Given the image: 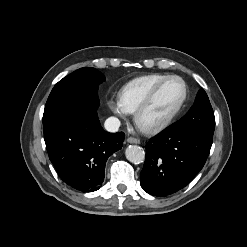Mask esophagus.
I'll list each match as a JSON object with an SVG mask.
<instances>
[{
    "instance_id": "1",
    "label": "esophagus",
    "mask_w": 247,
    "mask_h": 247,
    "mask_svg": "<svg viewBox=\"0 0 247 247\" xmlns=\"http://www.w3.org/2000/svg\"><path fill=\"white\" fill-rule=\"evenodd\" d=\"M127 142L132 144H140V140L134 137H128Z\"/></svg>"
}]
</instances>
